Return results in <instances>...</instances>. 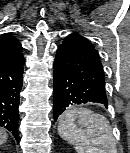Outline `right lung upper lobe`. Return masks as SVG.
<instances>
[{"mask_svg":"<svg viewBox=\"0 0 130 153\" xmlns=\"http://www.w3.org/2000/svg\"><path fill=\"white\" fill-rule=\"evenodd\" d=\"M21 44L9 33L0 37V63L12 61L22 55Z\"/></svg>","mask_w":130,"mask_h":153,"instance_id":"right-lung-upper-lobe-1","label":"right lung upper lobe"}]
</instances>
